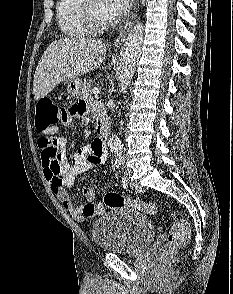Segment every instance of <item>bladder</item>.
Returning <instances> with one entry per match:
<instances>
[{"mask_svg": "<svg viewBox=\"0 0 233 294\" xmlns=\"http://www.w3.org/2000/svg\"><path fill=\"white\" fill-rule=\"evenodd\" d=\"M152 221L138 210L117 207L97 218L92 225L96 246L117 254H139L155 236Z\"/></svg>", "mask_w": 233, "mask_h": 294, "instance_id": "31cf9c89", "label": "bladder"}]
</instances>
